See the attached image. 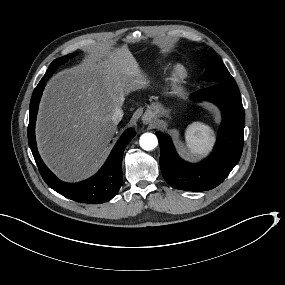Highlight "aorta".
Segmentation results:
<instances>
[{
	"label": "aorta",
	"mask_w": 285,
	"mask_h": 285,
	"mask_svg": "<svg viewBox=\"0 0 285 285\" xmlns=\"http://www.w3.org/2000/svg\"><path fill=\"white\" fill-rule=\"evenodd\" d=\"M158 145L157 137L152 133H145L140 137V146L143 150L151 151Z\"/></svg>",
	"instance_id": "aorta-1"
}]
</instances>
